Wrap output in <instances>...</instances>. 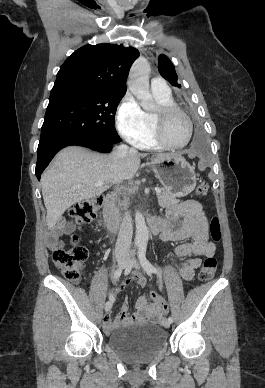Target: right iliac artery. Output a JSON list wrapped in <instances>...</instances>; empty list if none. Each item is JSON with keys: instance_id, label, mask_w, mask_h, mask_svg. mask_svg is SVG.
Returning a JSON list of instances; mask_svg holds the SVG:
<instances>
[{"instance_id": "82829eb1", "label": "right iliac artery", "mask_w": 265, "mask_h": 388, "mask_svg": "<svg viewBox=\"0 0 265 388\" xmlns=\"http://www.w3.org/2000/svg\"><path fill=\"white\" fill-rule=\"evenodd\" d=\"M121 273H122V268L116 269L113 273V279L117 280L121 276ZM109 300L112 301V298L110 297Z\"/></svg>"}]
</instances>
